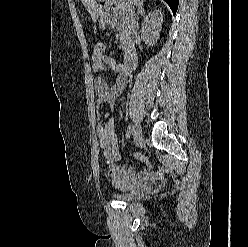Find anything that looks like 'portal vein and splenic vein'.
Instances as JSON below:
<instances>
[{
	"instance_id": "1",
	"label": "portal vein and splenic vein",
	"mask_w": 248,
	"mask_h": 247,
	"mask_svg": "<svg viewBox=\"0 0 248 247\" xmlns=\"http://www.w3.org/2000/svg\"><path fill=\"white\" fill-rule=\"evenodd\" d=\"M98 1L106 2L107 5H111L108 0H98ZM113 11L117 12V9L114 8Z\"/></svg>"
}]
</instances>
